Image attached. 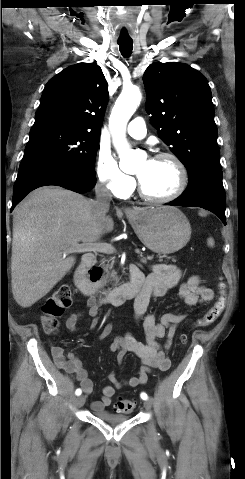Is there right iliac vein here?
<instances>
[{
  "label": "right iliac vein",
  "mask_w": 245,
  "mask_h": 479,
  "mask_svg": "<svg viewBox=\"0 0 245 479\" xmlns=\"http://www.w3.org/2000/svg\"><path fill=\"white\" fill-rule=\"evenodd\" d=\"M85 403V397L84 396H79L75 400V404L77 407H81Z\"/></svg>",
  "instance_id": "obj_1"
}]
</instances>
